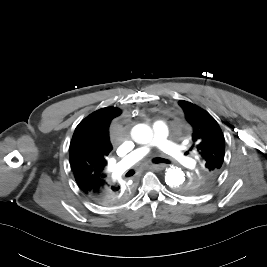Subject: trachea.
<instances>
[{
	"instance_id": "1",
	"label": "trachea",
	"mask_w": 267,
	"mask_h": 267,
	"mask_svg": "<svg viewBox=\"0 0 267 267\" xmlns=\"http://www.w3.org/2000/svg\"><path fill=\"white\" fill-rule=\"evenodd\" d=\"M153 163H166V164H168V163H170V161L167 159H164V158L157 157V158L153 159ZM129 173H130V175H133L134 171L130 170Z\"/></svg>"
}]
</instances>
